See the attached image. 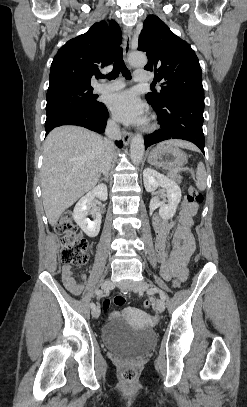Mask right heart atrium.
Instances as JSON below:
<instances>
[{
    "instance_id": "d8ad5b80",
    "label": "right heart atrium",
    "mask_w": 247,
    "mask_h": 407,
    "mask_svg": "<svg viewBox=\"0 0 247 407\" xmlns=\"http://www.w3.org/2000/svg\"><path fill=\"white\" fill-rule=\"evenodd\" d=\"M111 124H114V122H113V121H111Z\"/></svg>"
}]
</instances>
